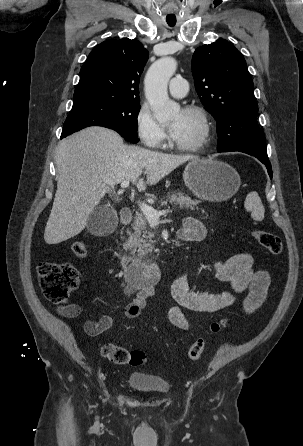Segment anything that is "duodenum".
Listing matches in <instances>:
<instances>
[{"instance_id": "duodenum-1", "label": "duodenum", "mask_w": 303, "mask_h": 446, "mask_svg": "<svg viewBox=\"0 0 303 446\" xmlns=\"http://www.w3.org/2000/svg\"><path fill=\"white\" fill-rule=\"evenodd\" d=\"M133 214L130 209H123L120 213V221L127 225L132 221ZM121 263L126 272L127 282L130 287L140 288L153 285L161 274L159 263L146 262L132 257H124Z\"/></svg>"}]
</instances>
